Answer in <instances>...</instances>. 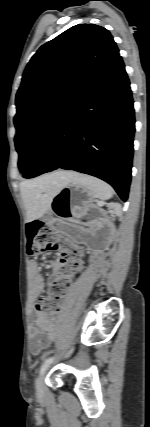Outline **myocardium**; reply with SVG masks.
I'll return each mask as SVG.
<instances>
[{"label":"myocardium","mask_w":150,"mask_h":427,"mask_svg":"<svg viewBox=\"0 0 150 427\" xmlns=\"http://www.w3.org/2000/svg\"><path fill=\"white\" fill-rule=\"evenodd\" d=\"M44 155V150L42 148H35L29 153L31 160H36Z\"/></svg>","instance_id":"obj_1"}]
</instances>
